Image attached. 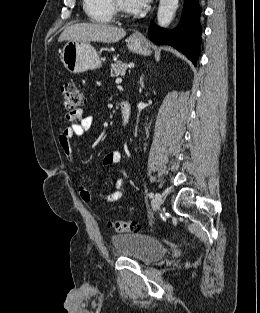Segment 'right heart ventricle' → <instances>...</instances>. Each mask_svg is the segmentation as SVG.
<instances>
[{
  "label": "right heart ventricle",
  "mask_w": 260,
  "mask_h": 313,
  "mask_svg": "<svg viewBox=\"0 0 260 313\" xmlns=\"http://www.w3.org/2000/svg\"><path fill=\"white\" fill-rule=\"evenodd\" d=\"M83 8L88 17L98 23H110L114 13L109 0H83Z\"/></svg>",
  "instance_id": "right-heart-ventricle-1"
}]
</instances>
